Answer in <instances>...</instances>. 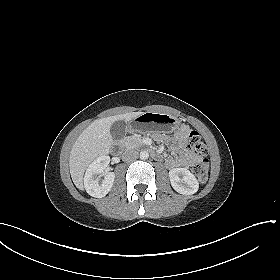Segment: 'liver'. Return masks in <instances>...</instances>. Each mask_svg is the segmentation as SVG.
Here are the masks:
<instances>
[{
  "mask_svg": "<svg viewBox=\"0 0 280 280\" xmlns=\"http://www.w3.org/2000/svg\"><path fill=\"white\" fill-rule=\"evenodd\" d=\"M143 112H130L98 119L92 122L76 139L69 157L71 178L79 190H83V176L89 164L107 155L113 143L111 125L118 120L129 122Z\"/></svg>",
  "mask_w": 280,
  "mask_h": 280,
  "instance_id": "1",
  "label": "liver"
}]
</instances>
